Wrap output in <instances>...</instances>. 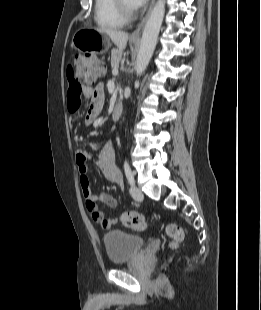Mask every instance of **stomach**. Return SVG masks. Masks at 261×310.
Instances as JSON below:
<instances>
[{
  "mask_svg": "<svg viewBox=\"0 0 261 310\" xmlns=\"http://www.w3.org/2000/svg\"><path fill=\"white\" fill-rule=\"evenodd\" d=\"M72 45L80 51L102 54L109 49L110 39L105 33L95 29H81L74 34Z\"/></svg>",
  "mask_w": 261,
  "mask_h": 310,
  "instance_id": "stomach-1",
  "label": "stomach"
}]
</instances>
